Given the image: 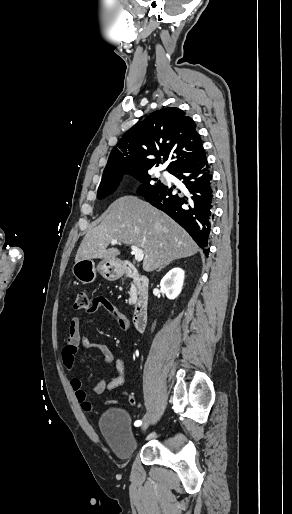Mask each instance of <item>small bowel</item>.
Masks as SVG:
<instances>
[{
	"instance_id": "obj_1",
	"label": "small bowel",
	"mask_w": 292,
	"mask_h": 514,
	"mask_svg": "<svg viewBox=\"0 0 292 514\" xmlns=\"http://www.w3.org/2000/svg\"><path fill=\"white\" fill-rule=\"evenodd\" d=\"M98 309L106 310L108 313L115 317V319L118 321L119 325L123 330L130 331V325L128 324V322L116 312L114 304L106 296L98 295L91 300L88 312L93 313ZM91 348L97 349L102 354L103 364L107 365L115 360L113 351L107 344L103 342H93L87 336L81 334V321L79 317H73L69 322L68 338L61 352V358L65 368L69 372H73L75 370L76 354L82 350H87ZM116 369L118 372V376L110 382L106 383L102 379L98 380L93 389L96 394H102L105 391L113 390L125 383L128 366L123 358L116 359ZM70 386L72 390L75 392L76 398L80 403L82 410L84 412L90 411L91 413H94L95 409L92 408L91 403L88 400V396L83 388V382L81 381V379L76 376L71 377ZM116 396L120 398H125L127 396L126 400L128 401V404L130 406H136L138 404V401L136 399H133V397L135 396V393L133 391H130L128 393H126L125 391H120L116 393ZM104 404L106 406H115L117 404V401L115 399H112L111 396H108L107 399L104 401Z\"/></svg>"
}]
</instances>
